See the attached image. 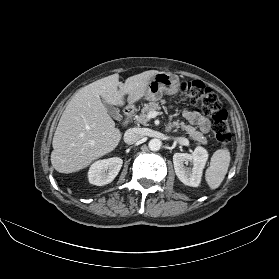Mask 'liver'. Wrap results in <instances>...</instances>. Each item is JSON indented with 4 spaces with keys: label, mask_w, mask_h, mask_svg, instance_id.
I'll return each mask as SVG.
<instances>
[{
    "label": "liver",
    "mask_w": 279,
    "mask_h": 279,
    "mask_svg": "<svg viewBox=\"0 0 279 279\" xmlns=\"http://www.w3.org/2000/svg\"><path fill=\"white\" fill-rule=\"evenodd\" d=\"M159 71L149 70L131 76L120 84L119 74L83 87L68 103L53 137L51 163L59 173L79 171L94 160L113 151L121 140L105 105L133 104L145 96L150 80Z\"/></svg>",
    "instance_id": "6515ba94"
}]
</instances>
